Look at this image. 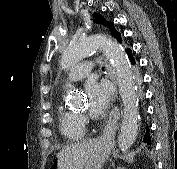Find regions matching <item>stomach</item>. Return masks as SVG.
Masks as SVG:
<instances>
[{
	"label": "stomach",
	"mask_w": 177,
	"mask_h": 169,
	"mask_svg": "<svg viewBox=\"0 0 177 169\" xmlns=\"http://www.w3.org/2000/svg\"><path fill=\"white\" fill-rule=\"evenodd\" d=\"M111 147L109 142L100 141L91 152L83 169H102V166L110 154ZM51 168L54 169L55 166H52Z\"/></svg>",
	"instance_id": "obj_1"
}]
</instances>
